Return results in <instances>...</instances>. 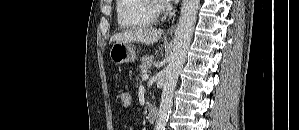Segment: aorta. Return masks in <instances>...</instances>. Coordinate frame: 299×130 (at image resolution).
Masks as SVG:
<instances>
[{
  "label": "aorta",
  "instance_id": "762f6f07",
  "mask_svg": "<svg viewBox=\"0 0 299 130\" xmlns=\"http://www.w3.org/2000/svg\"><path fill=\"white\" fill-rule=\"evenodd\" d=\"M199 2L200 0H183L172 52L165 69L161 104L155 126L156 130H165L169 113L172 108L175 86L191 42Z\"/></svg>",
  "mask_w": 299,
  "mask_h": 130
}]
</instances>
